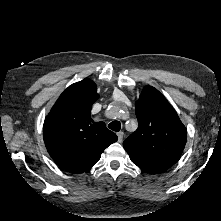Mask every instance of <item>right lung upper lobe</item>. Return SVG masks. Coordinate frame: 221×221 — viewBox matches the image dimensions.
I'll return each instance as SVG.
<instances>
[{
  "mask_svg": "<svg viewBox=\"0 0 221 221\" xmlns=\"http://www.w3.org/2000/svg\"><path fill=\"white\" fill-rule=\"evenodd\" d=\"M98 97L96 84L86 78L69 86L47 115L44 142L62 169L97 162L104 149L117 141L104 122L91 118V108Z\"/></svg>",
  "mask_w": 221,
  "mask_h": 221,
  "instance_id": "1",
  "label": "right lung upper lobe"
}]
</instances>
